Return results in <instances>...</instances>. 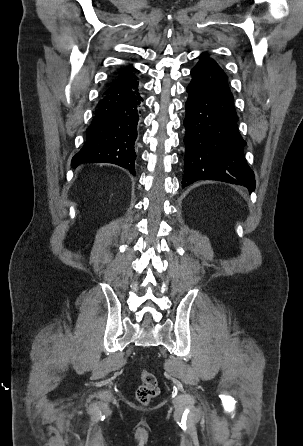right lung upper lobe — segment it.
I'll return each mask as SVG.
<instances>
[{
  "instance_id": "right-lung-upper-lobe-1",
  "label": "right lung upper lobe",
  "mask_w": 303,
  "mask_h": 446,
  "mask_svg": "<svg viewBox=\"0 0 303 446\" xmlns=\"http://www.w3.org/2000/svg\"><path fill=\"white\" fill-rule=\"evenodd\" d=\"M132 70H133V67H128V70H127V71H124V72L118 74V75L114 78L113 81H121V80L128 79V78H131V77L135 76V75L132 73Z\"/></svg>"
}]
</instances>
